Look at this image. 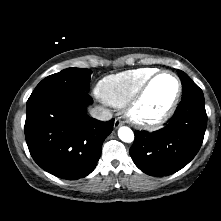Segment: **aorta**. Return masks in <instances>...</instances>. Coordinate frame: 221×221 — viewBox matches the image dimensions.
Instances as JSON below:
<instances>
[{
    "instance_id": "obj_1",
    "label": "aorta",
    "mask_w": 221,
    "mask_h": 221,
    "mask_svg": "<svg viewBox=\"0 0 221 221\" xmlns=\"http://www.w3.org/2000/svg\"><path fill=\"white\" fill-rule=\"evenodd\" d=\"M118 136L120 140L126 143H131L134 140V133L133 131L126 126L120 127L118 130Z\"/></svg>"
}]
</instances>
